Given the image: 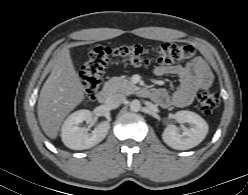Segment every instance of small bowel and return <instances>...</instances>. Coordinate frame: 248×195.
<instances>
[{
	"label": "small bowel",
	"mask_w": 248,
	"mask_h": 195,
	"mask_svg": "<svg viewBox=\"0 0 248 195\" xmlns=\"http://www.w3.org/2000/svg\"><path fill=\"white\" fill-rule=\"evenodd\" d=\"M154 72L159 77L172 74L179 78V85L172 94L164 89H155L151 92L152 99L163 107L188 106L196 94L210 87L213 81L211 71L201 58H196L185 65H160Z\"/></svg>",
	"instance_id": "c3829d8e"
}]
</instances>
